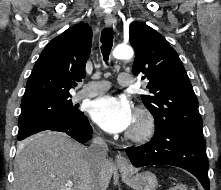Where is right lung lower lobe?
I'll use <instances>...</instances> for the list:
<instances>
[{
	"label": "right lung lower lobe",
	"instance_id": "obj_1",
	"mask_svg": "<svg viewBox=\"0 0 221 190\" xmlns=\"http://www.w3.org/2000/svg\"><path fill=\"white\" fill-rule=\"evenodd\" d=\"M64 132L71 136L73 139L77 140L80 143H84L91 138L92 128L89 124L87 117L84 115L82 118L69 125H53L43 127L41 129L35 130L33 132L27 133L25 135L18 136V140H23L33 134L39 132Z\"/></svg>",
	"mask_w": 221,
	"mask_h": 190
}]
</instances>
